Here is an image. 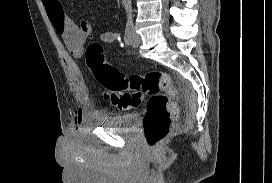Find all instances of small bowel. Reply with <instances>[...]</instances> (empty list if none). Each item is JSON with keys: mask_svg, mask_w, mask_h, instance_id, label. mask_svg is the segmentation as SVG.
I'll return each mask as SVG.
<instances>
[{"mask_svg": "<svg viewBox=\"0 0 272 183\" xmlns=\"http://www.w3.org/2000/svg\"><path fill=\"white\" fill-rule=\"evenodd\" d=\"M42 3L69 52L74 57H81L87 40L93 35L91 24L87 21L75 23L65 14L61 0H42ZM99 39L105 44H113L120 39V35L115 31H104L99 35ZM75 120L81 124V113L75 112Z\"/></svg>", "mask_w": 272, "mask_h": 183, "instance_id": "1", "label": "small bowel"}]
</instances>
